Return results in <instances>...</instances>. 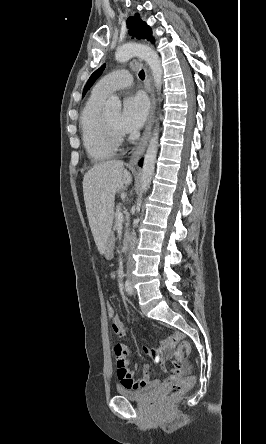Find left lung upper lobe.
<instances>
[{
  "instance_id": "5c2ea615",
  "label": "left lung upper lobe",
  "mask_w": 266,
  "mask_h": 444,
  "mask_svg": "<svg viewBox=\"0 0 266 444\" xmlns=\"http://www.w3.org/2000/svg\"><path fill=\"white\" fill-rule=\"evenodd\" d=\"M127 27L129 28V34L135 36L137 39L145 38L149 41L152 42L154 41L152 37L151 28L145 22H143L141 18H139L138 14H136L135 17L131 16L127 19ZM104 69H105V64L102 65L90 76L88 82L85 85L83 91V97L86 91L89 90V88L93 85V83L99 78Z\"/></svg>"
}]
</instances>
